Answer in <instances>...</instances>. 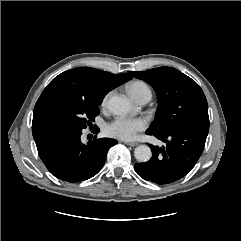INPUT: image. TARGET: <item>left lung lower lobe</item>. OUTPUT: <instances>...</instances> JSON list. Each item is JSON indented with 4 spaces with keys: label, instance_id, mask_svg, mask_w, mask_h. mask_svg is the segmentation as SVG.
<instances>
[{
    "label": "left lung lower lobe",
    "instance_id": "1",
    "mask_svg": "<svg viewBox=\"0 0 241 241\" xmlns=\"http://www.w3.org/2000/svg\"><path fill=\"white\" fill-rule=\"evenodd\" d=\"M209 123H196L159 134L148 130L166 143L165 147L149 145L152 157L145 163H136L134 169L144 180L157 184L173 183L187 175L195 166L205 146Z\"/></svg>",
    "mask_w": 241,
    "mask_h": 241
}]
</instances>
